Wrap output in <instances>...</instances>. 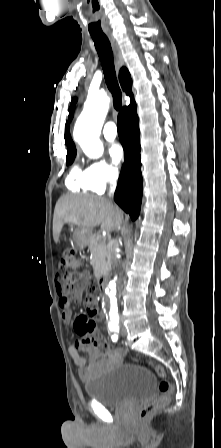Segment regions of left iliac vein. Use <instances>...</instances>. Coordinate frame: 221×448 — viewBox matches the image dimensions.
<instances>
[{
    "label": "left iliac vein",
    "mask_w": 221,
    "mask_h": 448,
    "mask_svg": "<svg viewBox=\"0 0 221 448\" xmlns=\"http://www.w3.org/2000/svg\"><path fill=\"white\" fill-rule=\"evenodd\" d=\"M120 334L122 335V336H125L126 335V329H125V327L121 324L120 325Z\"/></svg>",
    "instance_id": "obj_1"
}]
</instances>
